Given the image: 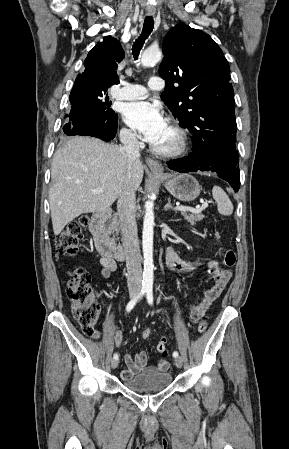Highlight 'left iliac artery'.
Segmentation results:
<instances>
[{
  "instance_id": "1",
  "label": "left iliac artery",
  "mask_w": 289,
  "mask_h": 449,
  "mask_svg": "<svg viewBox=\"0 0 289 449\" xmlns=\"http://www.w3.org/2000/svg\"><path fill=\"white\" fill-rule=\"evenodd\" d=\"M146 298H147L148 303L150 305H153V290H152V288L147 289V291H146ZM178 356H179L178 352L174 351L173 352V357L176 358Z\"/></svg>"
}]
</instances>
